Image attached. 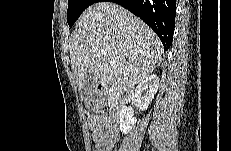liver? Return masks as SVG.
<instances>
[{
  "instance_id": "1",
  "label": "liver",
  "mask_w": 231,
  "mask_h": 151,
  "mask_svg": "<svg viewBox=\"0 0 231 151\" xmlns=\"http://www.w3.org/2000/svg\"><path fill=\"white\" fill-rule=\"evenodd\" d=\"M162 52V43L153 30L112 2L90 6L71 36V67L80 90L88 74L118 93L131 89L152 74Z\"/></svg>"
}]
</instances>
